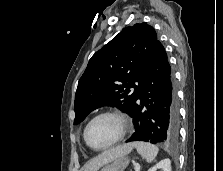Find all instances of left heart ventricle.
I'll return each instance as SVG.
<instances>
[{"instance_id":"b2bd125f","label":"left heart ventricle","mask_w":223,"mask_h":171,"mask_svg":"<svg viewBox=\"0 0 223 171\" xmlns=\"http://www.w3.org/2000/svg\"><path fill=\"white\" fill-rule=\"evenodd\" d=\"M119 121L111 116L96 119L88 129V140L95 147H103L113 142L120 134Z\"/></svg>"}]
</instances>
